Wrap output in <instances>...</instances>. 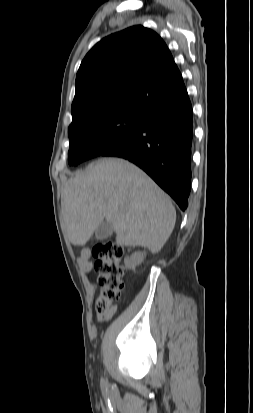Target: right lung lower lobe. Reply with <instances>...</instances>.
<instances>
[{
    "label": "right lung lower lobe",
    "instance_id": "obj_1",
    "mask_svg": "<svg viewBox=\"0 0 253 413\" xmlns=\"http://www.w3.org/2000/svg\"><path fill=\"white\" fill-rule=\"evenodd\" d=\"M193 112L188 95L151 107L142 127L101 156L125 158L142 168L184 211L191 189Z\"/></svg>",
    "mask_w": 253,
    "mask_h": 413
}]
</instances>
